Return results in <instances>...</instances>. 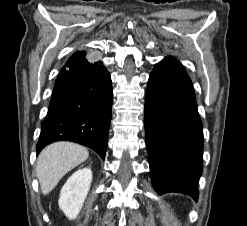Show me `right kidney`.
Segmentation results:
<instances>
[{
    "label": "right kidney",
    "mask_w": 247,
    "mask_h": 226,
    "mask_svg": "<svg viewBox=\"0 0 247 226\" xmlns=\"http://www.w3.org/2000/svg\"><path fill=\"white\" fill-rule=\"evenodd\" d=\"M91 182V169L83 168L73 173L62 187L58 204L69 219H75L79 214Z\"/></svg>",
    "instance_id": "obj_1"
}]
</instances>
